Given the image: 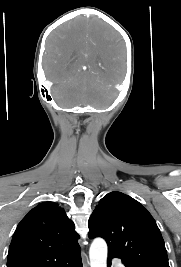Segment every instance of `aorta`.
<instances>
[{
  "mask_svg": "<svg viewBox=\"0 0 181 267\" xmlns=\"http://www.w3.org/2000/svg\"><path fill=\"white\" fill-rule=\"evenodd\" d=\"M107 244L101 238L93 240L90 250V267H107Z\"/></svg>",
  "mask_w": 181,
  "mask_h": 267,
  "instance_id": "1",
  "label": "aorta"
}]
</instances>
